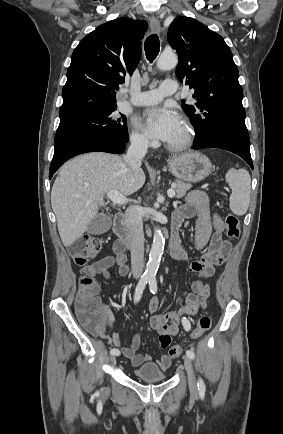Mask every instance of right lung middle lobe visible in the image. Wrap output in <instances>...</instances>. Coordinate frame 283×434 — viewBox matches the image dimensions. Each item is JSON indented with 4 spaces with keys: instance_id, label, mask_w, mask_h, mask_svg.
Listing matches in <instances>:
<instances>
[{
    "instance_id": "dd1d6c3e",
    "label": "right lung middle lobe",
    "mask_w": 283,
    "mask_h": 434,
    "mask_svg": "<svg viewBox=\"0 0 283 434\" xmlns=\"http://www.w3.org/2000/svg\"><path fill=\"white\" fill-rule=\"evenodd\" d=\"M117 107L90 111L67 116H60L56 132L55 149L81 137L92 135H109L128 141L126 117L113 113Z\"/></svg>"
}]
</instances>
